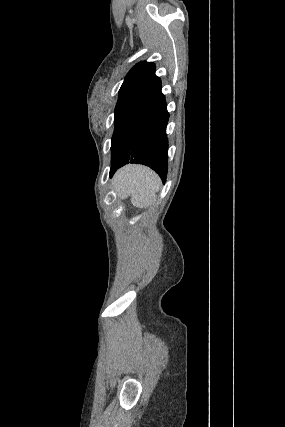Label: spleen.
Returning a JSON list of instances; mask_svg holds the SVG:
<instances>
[{"mask_svg":"<svg viewBox=\"0 0 285 427\" xmlns=\"http://www.w3.org/2000/svg\"><path fill=\"white\" fill-rule=\"evenodd\" d=\"M116 188L131 193L134 206L145 208L156 200L160 187V178L151 169L132 165L124 168L116 177Z\"/></svg>","mask_w":285,"mask_h":427,"instance_id":"spleen-1","label":"spleen"}]
</instances>
